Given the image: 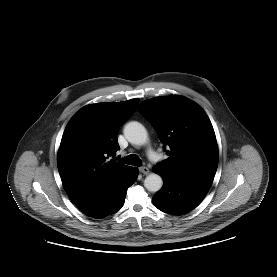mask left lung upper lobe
Instances as JSON below:
<instances>
[{
	"label": "left lung upper lobe",
	"instance_id": "1",
	"mask_svg": "<svg viewBox=\"0 0 277 277\" xmlns=\"http://www.w3.org/2000/svg\"><path fill=\"white\" fill-rule=\"evenodd\" d=\"M139 112L153 125L169 156L155 168L180 180L211 185L218 166V146L212 124L195 102L181 96L142 102Z\"/></svg>",
	"mask_w": 277,
	"mask_h": 277
}]
</instances>
